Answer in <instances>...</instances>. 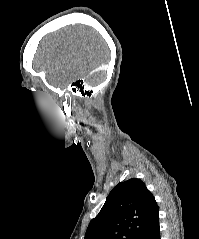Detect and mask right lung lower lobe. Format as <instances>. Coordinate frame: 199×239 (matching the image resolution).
Instances as JSON below:
<instances>
[{
  "mask_svg": "<svg viewBox=\"0 0 199 239\" xmlns=\"http://www.w3.org/2000/svg\"><path fill=\"white\" fill-rule=\"evenodd\" d=\"M159 221L156 219L147 229L138 237V239H160Z\"/></svg>",
  "mask_w": 199,
  "mask_h": 239,
  "instance_id": "obj_1",
  "label": "right lung lower lobe"
}]
</instances>
